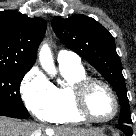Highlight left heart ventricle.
<instances>
[{
  "mask_svg": "<svg viewBox=\"0 0 136 136\" xmlns=\"http://www.w3.org/2000/svg\"><path fill=\"white\" fill-rule=\"evenodd\" d=\"M88 108L90 113L100 119L109 117L114 110L112 98L108 91L102 86H95L88 97Z\"/></svg>",
  "mask_w": 136,
  "mask_h": 136,
  "instance_id": "1",
  "label": "left heart ventricle"
}]
</instances>
